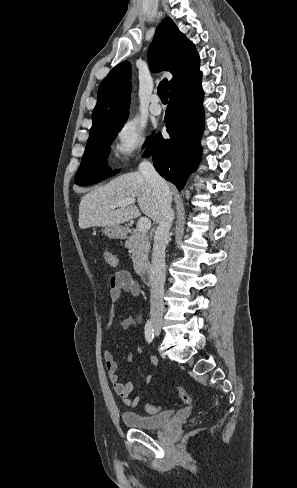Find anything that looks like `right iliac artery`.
I'll use <instances>...</instances> for the list:
<instances>
[{
	"mask_svg": "<svg viewBox=\"0 0 297 488\" xmlns=\"http://www.w3.org/2000/svg\"><path fill=\"white\" fill-rule=\"evenodd\" d=\"M145 338L149 343H151L154 339V328L149 320L145 324Z\"/></svg>",
	"mask_w": 297,
	"mask_h": 488,
	"instance_id": "82829eb1",
	"label": "right iliac artery"
}]
</instances>
